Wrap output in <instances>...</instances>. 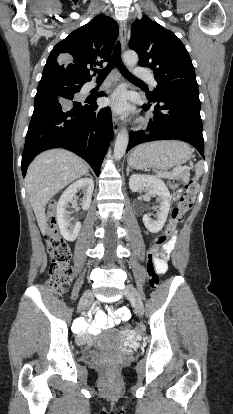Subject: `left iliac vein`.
Segmentation results:
<instances>
[{"label":"left iliac vein","instance_id":"1","mask_svg":"<svg viewBox=\"0 0 233 414\" xmlns=\"http://www.w3.org/2000/svg\"><path fill=\"white\" fill-rule=\"evenodd\" d=\"M125 296L131 301L138 315L142 316L144 313V306L136 288L132 285H127L125 288Z\"/></svg>","mask_w":233,"mask_h":414}]
</instances>
